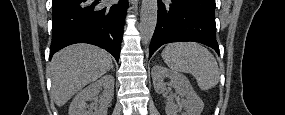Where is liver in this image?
I'll return each mask as SVG.
<instances>
[{"label": "liver", "instance_id": "obj_1", "mask_svg": "<svg viewBox=\"0 0 285 115\" xmlns=\"http://www.w3.org/2000/svg\"><path fill=\"white\" fill-rule=\"evenodd\" d=\"M112 59L105 50L76 44L57 52L50 63L52 95L63 106L75 93L111 69Z\"/></svg>", "mask_w": 285, "mask_h": 115}]
</instances>
